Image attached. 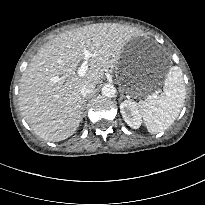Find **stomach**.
Here are the masks:
<instances>
[{"instance_id": "1", "label": "stomach", "mask_w": 205, "mask_h": 205, "mask_svg": "<svg viewBox=\"0 0 205 205\" xmlns=\"http://www.w3.org/2000/svg\"><path fill=\"white\" fill-rule=\"evenodd\" d=\"M137 51L127 47L122 51L117 67V78L122 85V91L134 95L150 94L155 86L141 79L137 71Z\"/></svg>"}]
</instances>
